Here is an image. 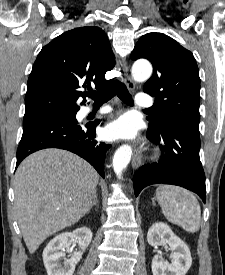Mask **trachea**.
Segmentation results:
<instances>
[{
  "instance_id": "3493384b",
  "label": "trachea",
  "mask_w": 225,
  "mask_h": 275,
  "mask_svg": "<svg viewBox=\"0 0 225 275\" xmlns=\"http://www.w3.org/2000/svg\"><path fill=\"white\" fill-rule=\"evenodd\" d=\"M117 95L127 105H133L132 97L126 85L119 80H114L104 89L88 94V97L94 100L95 105H101Z\"/></svg>"
}]
</instances>
